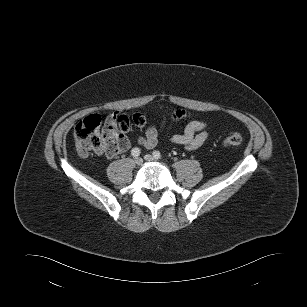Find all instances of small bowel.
Segmentation results:
<instances>
[{"label":"small bowel","mask_w":307,"mask_h":307,"mask_svg":"<svg viewBox=\"0 0 307 307\" xmlns=\"http://www.w3.org/2000/svg\"><path fill=\"white\" fill-rule=\"evenodd\" d=\"M189 118V113L185 110H176L172 113L169 123L163 119L158 125H150L146 128L145 133L138 139L139 144L153 148L157 142L159 133L163 129H167L173 122L181 119ZM110 126L106 129V138L109 146L105 153L107 157L112 158L120 153L127 151L130 147V142L124 133L120 132L111 122V116L107 118ZM209 133L206 130V123L200 120H191L186 125L182 133L173 134L170 141L180 145L187 150H196L201 148L206 142Z\"/></svg>","instance_id":"small-bowel-1"}]
</instances>
